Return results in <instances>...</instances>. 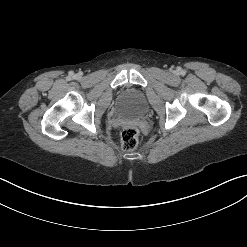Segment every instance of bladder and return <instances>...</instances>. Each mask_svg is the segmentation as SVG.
Segmentation results:
<instances>
[{"instance_id":"1","label":"bladder","mask_w":247,"mask_h":247,"mask_svg":"<svg viewBox=\"0 0 247 247\" xmlns=\"http://www.w3.org/2000/svg\"><path fill=\"white\" fill-rule=\"evenodd\" d=\"M117 111L124 117H141L146 111L144 93L136 88L125 89L118 100Z\"/></svg>"}]
</instances>
